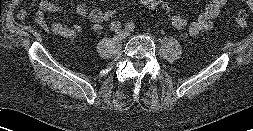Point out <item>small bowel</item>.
Masks as SVG:
<instances>
[{
	"label": "small bowel",
	"mask_w": 253,
	"mask_h": 131,
	"mask_svg": "<svg viewBox=\"0 0 253 131\" xmlns=\"http://www.w3.org/2000/svg\"><path fill=\"white\" fill-rule=\"evenodd\" d=\"M227 0H210L205 8L199 13L197 19L190 24L182 16L175 15L171 18V24L176 29L188 28L191 36H200L213 28V20L219 15L221 9L226 5ZM39 8L42 12H58L63 9L62 5H58L50 0H40ZM76 14L82 18H88L92 23L94 31L98 32L102 29L104 23L103 10L95 8L88 10L86 6L79 5L76 8ZM27 17V12L22 9L18 12V18L23 20ZM39 24L45 31H52L67 40H73L81 31L82 26L75 24L67 27L59 22H53L48 26L43 17L39 18Z\"/></svg>",
	"instance_id": "small-bowel-1"
}]
</instances>
